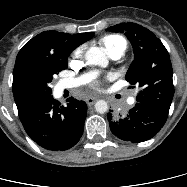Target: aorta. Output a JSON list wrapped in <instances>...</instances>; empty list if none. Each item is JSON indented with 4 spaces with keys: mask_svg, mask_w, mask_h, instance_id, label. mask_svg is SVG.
Masks as SVG:
<instances>
[{
    "mask_svg": "<svg viewBox=\"0 0 187 187\" xmlns=\"http://www.w3.org/2000/svg\"><path fill=\"white\" fill-rule=\"evenodd\" d=\"M85 59L90 65H98L106 67L108 65V58L105 51L100 47H91L86 51ZM95 110L100 114L108 111V104L104 100H99L95 103Z\"/></svg>",
    "mask_w": 187,
    "mask_h": 187,
    "instance_id": "obj_1",
    "label": "aorta"
}]
</instances>
